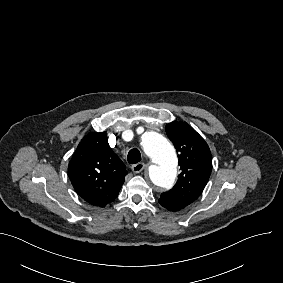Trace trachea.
<instances>
[{
    "mask_svg": "<svg viewBox=\"0 0 283 283\" xmlns=\"http://www.w3.org/2000/svg\"><path fill=\"white\" fill-rule=\"evenodd\" d=\"M128 163L136 164L141 161V153L137 148H133L128 152Z\"/></svg>",
    "mask_w": 283,
    "mask_h": 283,
    "instance_id": "3493384b",
    "label": "trachea"
}]
</instances>
